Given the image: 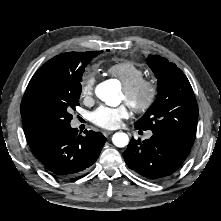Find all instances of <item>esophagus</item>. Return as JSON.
<instances>
[{"mask_svg":"<svg viewBox=\"0 0 221 221\" xmlns=\"http://www.w3.org/2000/svg\"><path fill=\"white\" fill-rule=\"evenodd\" d=\"M113 133V131H104L103 132V134H104V136H109V135H111Z\"/></svg>","mask_w":221,"mask_h":221,"instance_id":"obj_1","label":"esophagus"}]
</instances>
